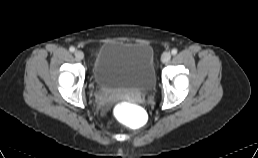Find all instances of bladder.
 I'll list each match as a JSON object with an SVG mask.
<instances>
[{
	"instance_id": "31cf9c89",
	"label": "bladder",
	"mask_w": 258,
	"mask_h": 158,
	"mask_svg": "<svg viewBox=\"0 0 258 158\" xmlns=\"http://www.w3.org/2000/svg\"><path fill=\"white\" fill-rule=\"evenodd\" d=\"M92 76L106 90L151 92L156 84L153 48L141 42H105L96 55Z\"/></svg>"
}]
</instances>
